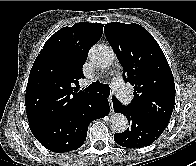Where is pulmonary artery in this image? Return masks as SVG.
Wrapping results in <instances>:
<instances>
[{"label": "pulmonary artery", "instance_id": "1", "mask_svg": "<svg viewBox=\"0 0 196 166\" xmlns=\"http://www.w3.org/2000/svg\"><path fill=\"white\" fill-rule=\"evenodd\" d=\"M112 88L122 102L124 103L129 102L130 95L127 91L125 84L123 83V81L119 76L113 78Z\"/></svg>", "mask_w": 196, "mask_h": 166}]
</instances>
